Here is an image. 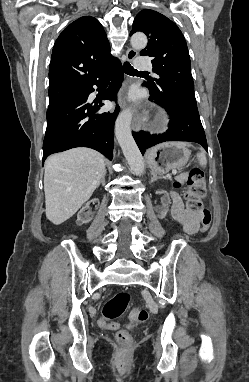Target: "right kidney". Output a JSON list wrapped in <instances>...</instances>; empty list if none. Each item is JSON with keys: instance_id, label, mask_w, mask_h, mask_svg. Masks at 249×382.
<instances>
[{"instance_id": "ca27d5eb", "label": "right kidney", "mask_w": 249, "mask_h": 382, "mask_svg": "<svg viewBox=\"0 0 249 382\" xmlns=\"http://www.w3.org/2000/svg\"><path fill=\"white\" fill-rule=\"evenodd\" d=\"M97 198H88V201H85V204L82 205V209L79 211L77 215V222L80 224H86L88 223L91 218H90V212H85V211H90L91 208H94L95 205H97Z\"/></svg>"}]
</instances>
